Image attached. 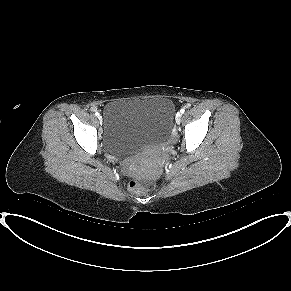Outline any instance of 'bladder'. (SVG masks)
Returning a JSON list of instances; mask_svg holds the SVG:
<instances>
[{
  "instance_id": "bladder-1",
  "label": "bladder",
  "mask_w": 291,
  "mask_h": 291,
  "mask_svg": "<svg viewBox=\"0 0 291 291\" xmlns=\"http://www.w3.org/2000/svg\"><path fill=\"white\" fill-rule=\"evenodd\" d=\"M173 116L174 104L165 97L110 102L101 120L104 148L123 156L159 143L168 136Z\"/></svg>"
}]
</instances>
